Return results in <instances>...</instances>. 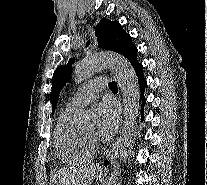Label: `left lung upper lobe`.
Listing matches in <instances>:
<instances>
[{"instance_id": "obj_1", "label": "left lung upper lobe", "mask_w": 207, "mask_h": 185, "mask_svg": "<svg viewBox=\"0 0 207 185\" xmlns=\"http://www.w3.org/2000/svg\"><path fill=\"white\" fill-rule=\"evenodd\" d=\"M95 35L100 48L108 49L125 56L133 67L140 63L137 61V48L133 45L131 36L127 34L118 21L102 18L95 27ZM89 45V42L86 44ZM74 59H70L66 65L58 67L52 78V98L54 112L59 93L71 77V66Z\"/></svg>"}]
</instances>
